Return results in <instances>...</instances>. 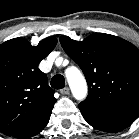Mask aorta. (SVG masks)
Wrapping results in <instances>:
<instances>
[{"label":"aorta","instance_id":"aorta-1","mask_svg":"<svg viewBox=\"0 0 139 139\" xmlns=\"http://www.w3.org/2000/svg\"><path fill=\"white\" fill-rule=\"evenodd\" d=\"M69 87L76 100L82 101L86 98L88 87L83 74L76 67H70L65 72Z\"/></svg>","mask_w":139,"mask_h":139}]
</instances>
